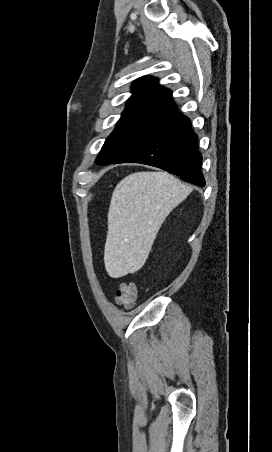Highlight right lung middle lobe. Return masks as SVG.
<instances>
[{
  "label": "right lung middle lobe",
  "mask_w": 272,
  "mask_h": 452,
  "mask_svg": "<svg viewBox=\"0 0 272 452\" xmlns=\"http://www.w3.org/2000/svg\"><path fill=\"white\" fill-rule=\"evenodd\" d=\"M160 117L156 114H123L107 138L96 159L98 165H109L125 153Z\"/></svg>",
  "instance_id": "obj_1"
}]
</instances>
